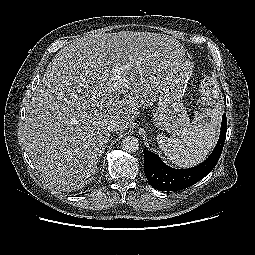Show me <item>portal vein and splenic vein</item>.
<instances>
[{"mask_svg": "<svg viewBox=\"0 0 255 255\" xmlns=\"http://www.w3.org/2000/svg\"><path fill=\"white\" fill-rule=\"evenodd\" d=\"M122 70H123V68L118 67V66L113 67L110 70V73L112 75V79L116 81V85H121L122 84V80H121V72H122Z\"/></svg>", "mask_w": 255, "mask_h": 255, "instance_id": "18ae733b", "label": "portal vein and splenic vein"}]
</instances>
